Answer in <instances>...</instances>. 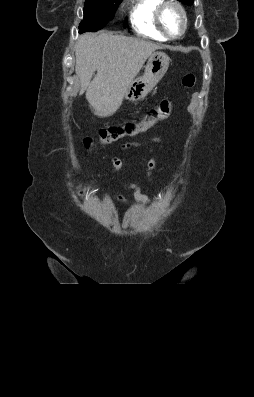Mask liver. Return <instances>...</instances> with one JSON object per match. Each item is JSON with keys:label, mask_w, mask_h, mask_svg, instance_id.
<instances>
[{"label": "liver", "mask_w": 254, "mask_h": 397, "mask_svg": "<svg viewBox=\"0 0 254 397\" xmlns=\"http://www.w3.org/2000/svg\"><path fill=\"white\" fill-rule=\"evenodd\" d=\"M160 48L137 37L108 33L80 36L75 45V72L80 79V94L86 92L94 115L108 117L120 108L127 86L149 56Z\"/></svg>", "instance_id": "liver-1"}]
</instances>
